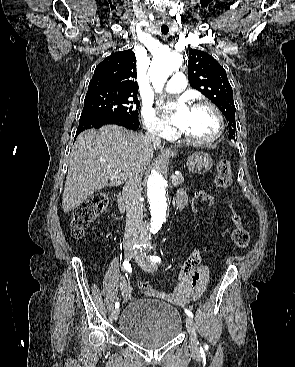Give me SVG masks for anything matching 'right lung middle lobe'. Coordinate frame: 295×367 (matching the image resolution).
I'll list each match as a JSON object with an SVG mask.
<instances>
[{
    "label": "right lung middle lobe",
    "instance_id": "right-lung-middle-lobe-1",
    "mask_svg": "<svg viewBox=\"0 0 295 367\" xmlns=\"http://www.w3.org/2000/svg\"><path fill=\"white\" fill-rule=\"evenodd\" d=\"M139 106L140 103L134 95L88 90L80 121L112 117L137 118Z\"/></svg>",
    "mask_w": 295,
    "mask_h": 367
}]
</instances>
